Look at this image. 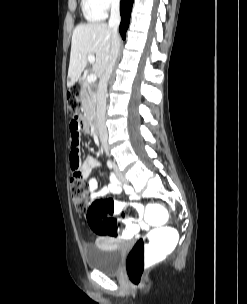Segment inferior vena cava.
Masks as SVG:
<instances>
[{
    "label": "inferior vena cava",
    "mask_w": 247,
    "mask_h": 304,
    "mask_svg": "<svg viewBox=\"0 0 247 304\" xmlns=\"http://www.w3.org/2000/svg\"><path fill=\"white\" fill-rule=\"evenodd\" d=\"M119 4H120V0H112L109 27L112 29L113 35H112L111 50L109 55V62L105 69V72L100 78L99 86L97 90L96 127L98 129L99 138L106 154H108L107 128L105 125L107 84L113 72L120 48V39L118 36V27L120 24Z\"/></svg>",
    "instance_id": "inferior-vena-cava-1"
}]
</instances>
